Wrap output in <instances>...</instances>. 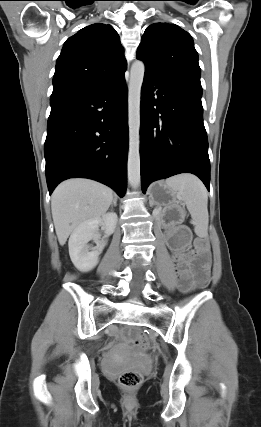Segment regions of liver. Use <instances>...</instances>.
I'll return each instance as SVG.
<instances>
[{
    "label": "liver",
    "mask_w": 261,
    "mask_h": 427,
    "mask_svg": "<svg viewBox=\"0 0 261 427\" xmlns=\"http://www.w3.org/2000/svg\"><path fill=\"white\" fill-rule=\"evenodd\" d=\"M112 201V189L93 180L76 178L59 184L52 194L51 210L60 245L79 224L104 215Z\"/></svg>",
    "instance_id": "1"
}]
</instances>
